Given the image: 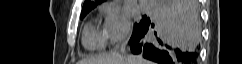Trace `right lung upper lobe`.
<instances>
[{"label":"right lung upper lobe","mask_w":242,"mask_h":64,"mask_svg":"<svg viewBox=\"0 0 242 64\" xmlns=\"http://www.w3.org/2000/svg\"><path fill=\"white\" fill-rule=\"evenodd\" d=\"M95 1L98 2V3H101L104 0H95ZM94 7H96V4L94 2H92L90 0H85V3L83 5V8H82V12L81 13L89 12Z\"/></svg>","instance_id":"obj_1"}]
</instances>
